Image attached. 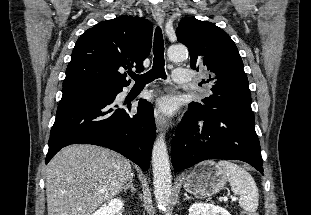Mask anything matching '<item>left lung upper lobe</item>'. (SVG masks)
Segmentation results:
<instances>
[{
    "label": "left lung upper lobe",
    "instance_id": "5c2ea615",
    "mask_svg": "<svg viewBox=\"0 0 311 215\" xmlns=\"http://www.w3.org/2000/svg\"><path fill=\"white\" fill-rule=\"evenodd\" d=\"M177 39L190 53L192 69L210 72L212 95L190 105L198 108L240 107L251 109V95L243 62L230 36L207 21L183 18Z\"/></svg>",
    "mask_w": 311,
    "mask_h": 215
}]
</instances>
